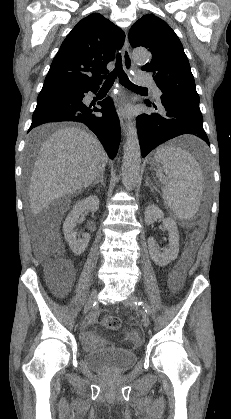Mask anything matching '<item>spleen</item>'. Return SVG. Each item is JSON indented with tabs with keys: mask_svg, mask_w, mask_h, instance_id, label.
<instances>
[{
	"mask_svg": "<svg viewBox=\"0 0 231 419\" xmlns=\"http://www.w3.org/2000/svg\"><path fill=\"white\" fill-rule=\"evenodd\" d=\"M155 161L162 165L158 172L163 183L164 203L182 220L194 217L203 192V174L196 159L177 146H162L154 152Z\"/></svg>",
	"mask_w": 231,
	"mask_h": 419,
	"instance_id": "obj_1",
	"label": "spleen"
}]
</instances>
